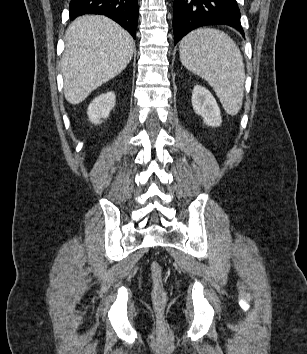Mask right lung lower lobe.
I'll use <instances>...</instances> for the list:
<instances>
[{"instance_id": "obj_1", "label": "right lung lower lobe", "mask_w": 307, "mask_h": 354, "mask_svg": "<svg viewBox=\"0 0 307 354\" xmlns=\"http://www.w3.org/2000/svg\"><path fill=\"white\" fill-rule=\"evenodd\" d=\"M70 19L94 13L105 15L122 27L135 38L138 22V0H71Z\"/></svg>"}]
</instances>
